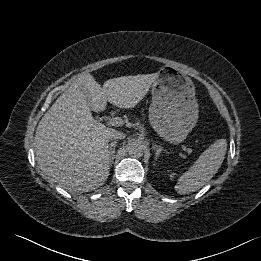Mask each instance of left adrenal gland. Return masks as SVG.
<instances>
[{
	"instance_id": "left-adrenal-gland-1",
	"label": "left adrenal gland",
	"mask_w": 261,
	"mask_h": 261,
	"mask_svg": "<svg viewBox=\"0 0 261 261\" xmlns=\"http://www.w3.org/2000/svg\"><path fill=\"white\" fill-rule=\"evenodd\" d=\"M155 149V155L156 158L159 157V155L161 154V152H166V150H164L161 146L157 145V144H153L152 146Z\"/></svg>"
}]
</instances>
